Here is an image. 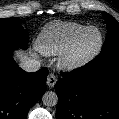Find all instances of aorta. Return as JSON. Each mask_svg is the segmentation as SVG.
<instances>
[{"label":"aorta","mask_w":119,"mask_h":119,"mask_svg":"<svg viewBox=\"0 0 119 119\" xmlns=\"http://www.w3.org/2000/svg\"><path fill=\"white\" fill-rule=\"evenodd\" d=\"M42 102L47 107H53L58 104V96L53 91H47L42 97Z\"/></svg>","instance_id":"762f6f07"}]
</instances>
